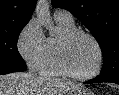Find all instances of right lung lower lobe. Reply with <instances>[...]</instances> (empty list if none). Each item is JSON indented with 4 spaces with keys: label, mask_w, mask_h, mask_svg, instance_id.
I'll return each instance as SVG.
<instances>
[{
    "label": "right lung lower lobe",
    "mask_w": 119,
    "mask_h": 95,
    "mask_svg": "<svg viewBox=\"0 0 119 95\" xmlns=\"http://www.w3.org/2000/svg\"><path fill=\"white\" fill-rule=\"evenodd\" d=\"M18 71H24V69L11 66H0V75Z\"/></svg>",
    "instance_id": "obj_1"
}]
</instances>
